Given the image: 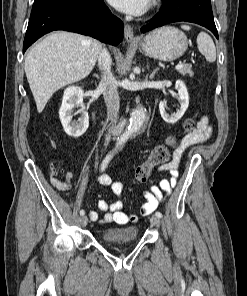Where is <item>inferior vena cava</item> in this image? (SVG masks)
<instances>
[{"mask_svg": "<svg viewBox=\"0 0 247 296\" xmlns=\"http://www.w3.org/2000/svg\"><path fill=\"white\" fill-rule=\"evenodd\" d=\"M111 56L107 49L103 48L98 56V65L103 75L99 83V87L103 91L104 100L107 106L111 124H116L118 120V113L120 108V100L117 91V81L111 72ZM111 140L110 133L106 134L105 146Z\"/></svg>", "mask_w": 247, "mask_h": 296, "instance_id": "1", "label": "inferior vena cava"}]
</instances>
